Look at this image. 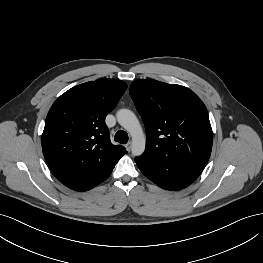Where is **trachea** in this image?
Listing matches in <instances>:
<instances>
[{
	"mask_svg": "<svg viewBox=\"0 0 263 263\" xmlns=\"http://www.w3.org/2000/svg\"><path fill=\"white\" fill-rule=\"evenodd\" d=\"M114 140L118 143L126 144L128 142V134L125 131L120 130L115 134Z\"/></svg>",
	"mask_w": 263,
	"mask_h": 263,
	"instance_id": "3493384b",
	"label": "trachea"
}]
</instances>
